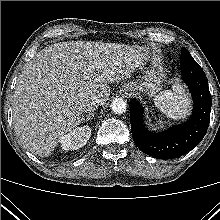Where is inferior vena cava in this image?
<instances>
[{
	"label": "inferior vena cava",
	"instance_id": "obj_1",
	"mask_svg": "<svg viewBox=\"0 0 220 220\" xmlns=\"http://www.w3.org/2000/svg\"><path fill=\"white\" fill-rule=\"evenodd\" d=\"M100 105V100L97 97H92L91 99L86 100L82 104L84 112H92L98 108Z\"/></svg>",
	"mask_w": 220,
	"mask_h": 220
}]
</instances>
